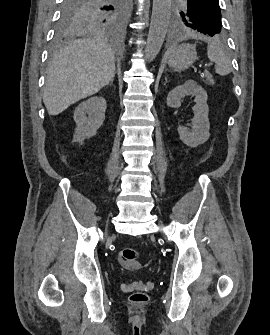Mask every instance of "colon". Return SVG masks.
Masks as SVG:
<instances>
[{"label":"colon","mask_w":270,"mask_h":335,"mask_svg":"<svg viewBox=\"0 0 270 335\" xmlns=\"http://www.w3.org/2000/svg\"><path fill=\"white\" fill-rule=\"evenodd\" d=\"M139 252L136 248H122L119 256V261L123 267H134L138 266V259ZM131 300L136 304H144L148 296L145 293L141 292H134L131 294Z\"/></svg>","instance_id":"5ec220e1"}]
</instances>
